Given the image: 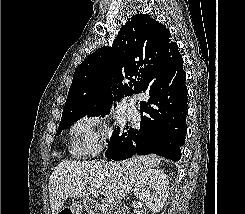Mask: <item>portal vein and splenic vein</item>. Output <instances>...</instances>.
<instances>
[{
    "label": "portal vein and splenic vein",
    "mask_w": 245,
    "mask_h": 214,
    "mask_svg": "<svg viewBox=\"0 0 245 214\" xmlns=\"http://www.w3.org/2000/svg\"><path fill=\"white\" fill-rule=\"evenodd\" d=\"M88 190L90 193L94 194V195H99L98 192L92 188V187H88ZM105 202L107 204H112L114 202V197H111V196H108L106 199H105Z\"/></svg>",
    "instance_id": "18ae733b"
}]
</instances>
